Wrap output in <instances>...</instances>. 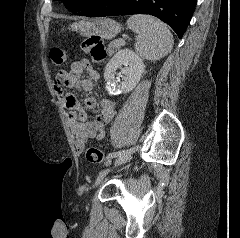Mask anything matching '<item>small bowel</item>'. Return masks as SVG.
Returning <instances> with one entry per match:
<instances>
[{
	"label": "small bowel",
	"mask_w": 240,
	"mask_h": 238,
	"mask_svg": "<svg viewBox=\"0 0 240 238\" xmlns=\"http://www.w3.org/2000/svg\"><path fill=\"white\" fill-rule=\"evenodd\" d=\"M85 71L88 72V78L82 77ZM99 80V72L86 59L72 63L68 71H58L54 78V89L61 105L67 110V122L72 131L77 152L83 151L88 139L101 140L105 137L106 127L114 117L116 109L112 100L104 98L100 101L99 111L94 119L89 120L87 112L81 107L77 98L66 92L65 88L77 87L82 92L88 93ZM84 103L88 109H93L97 105L93 96H87Z\"/></svg>",
	"instance_id": "c3829d8e"
}]
</instances>
